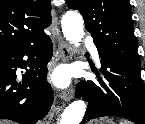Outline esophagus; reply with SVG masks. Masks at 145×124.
<instances>
[{"label": "esophagus", "mask_w": 145, "mask_h": 124, "mask_svg": "<svg viewBox=\"0 0 145 124\" xmlns=\"http://www.w3.org/2000/svg\"><path fill=\"white\" fill-rule=\"evenodd\" d=\"M58 60L67 62L71 57V47L63 40H59L58 43ZM74 96V88L71 87L68 90H63L60 93L61 99L70 101Z\"/></svg>", "instance_id": "1"}]
</instances>
